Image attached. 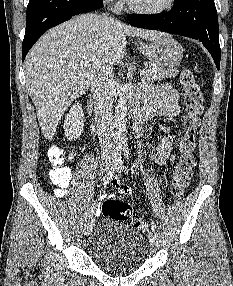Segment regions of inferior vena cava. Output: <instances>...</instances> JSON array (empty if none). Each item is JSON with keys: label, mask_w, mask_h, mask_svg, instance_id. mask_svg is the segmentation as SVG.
I'll return each mask as SVG.
<instances>
[{"label": "inferior vena cava", "mask_w": 233, "mask_h": 286, "mask_svg": "<svg viewBox=\"0 0 233 286\" xmlns=\"http://www.w3.org/2000/svg\"><path fill=\"white\" fill-rule=\"evenodd\" d=\"M111 20H114L110 17ZM91 92L95 104V119L101 143L104 146V134L111 147L113 146V67L108 64H100L96 77L91 85Z\"/></svg>", "instance_id": "obj_1"}]
</instances>
